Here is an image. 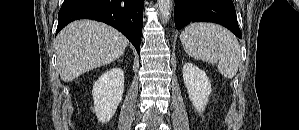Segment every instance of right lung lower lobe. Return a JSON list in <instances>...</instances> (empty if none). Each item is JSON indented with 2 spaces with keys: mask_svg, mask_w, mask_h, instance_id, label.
<instances>
[{
  "mask_svg": "<svg viewBox=\"0 0 299 130\" xmlns=\"http://www.w3.org/2000/svg\"><path fill=\"white\" fill-rule=\"evenodd\" d=\"M144 0H64L56 34L68 23L92 19L122 32L140 54Z\"/></svg>",
  "mask_w": 299,
  "mask_h": 130,
  "instance_id": "obj_1",
  "label": "right lung lower lobe"
}]
</instances>
